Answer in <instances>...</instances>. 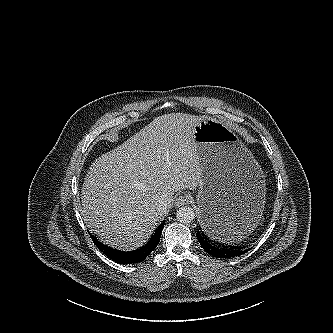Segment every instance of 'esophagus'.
Here are the masks:
<instances>
[{
    "label": "esophagus",
    "instance_id": "34e87169",
    "mask_svg": "<svg viewBox=\"0 0 333 333\" xmlns=\"http://www.w3.org/2000/svg\"><path fill=\"white\" fill-rule=\"evenodd\" d=\"M190 200V196L187 195V194H181L179 195L176 200H175V205L177 207H180V206H183L185 205L186 203H188Z\"/></svg>",
    "mask_w": 333,
    "mask_h": 333
}]
</instances>
